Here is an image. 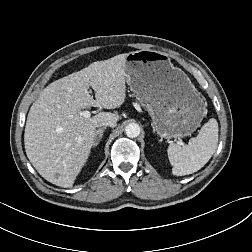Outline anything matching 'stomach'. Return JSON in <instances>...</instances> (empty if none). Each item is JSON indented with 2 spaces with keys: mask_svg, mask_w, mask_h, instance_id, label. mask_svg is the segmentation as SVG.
Instances as JSON below:
<instances>
[{
  "mask_svg": "<svg viewBox=\"0 0 252 252\" xmlns=\"http://www.w3.org/2000/svg\"><path fill=\"white\" fill-rule=\"evenodd\" d=\"M124 69L131 91L150 114L160 137H186L198 128L206 113L203 98L166 53L129 52Z\"/></svg>",
  "mask_w": 252,
  "mask_h": 252,
  "instance_id": "1",
  "label": "stomach"
}]
</instances>
